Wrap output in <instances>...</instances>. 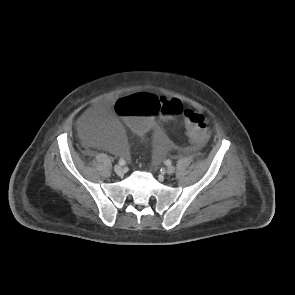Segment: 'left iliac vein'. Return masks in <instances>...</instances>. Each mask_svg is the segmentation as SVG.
I'll list each match as a JSON object with an SVG mask.
<instances>
[{"label":"left iliac vein","mask_w":295,"mask_h":295,"mask_svg":"<svg viewBox=\"0 0 295 295\" xmlns=\"http://www.w3.org/2000/svg\"><path fill=\"white\" fill-rule=\"evenodd\" d=\"M174 172H175V167L174 166L170 165V166L167 167V169H166L167 174H173Z\"/></svg>","instance_id":"obj_1"}]
</instances>
